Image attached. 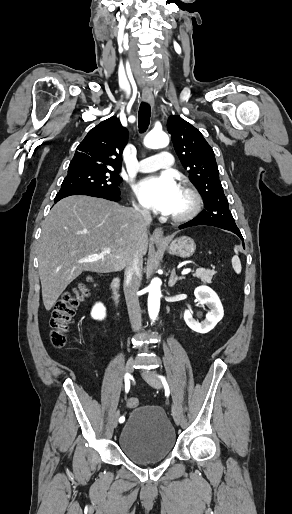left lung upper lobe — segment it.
Returning a JSON list of instances; mask_svg holds the SVG:
<instances>
[{"mask_svg":"<svg viewBox=\"0 0 292 514\" xmlns=\"http://www.w3.org/2000/svg\"><path fill=\"white\" fill-rule=\"evenodd\" d=\"M168 132L174 149L189 179L198 189L205 210L198 216L201 222H212L238 229L224 195L214 152L198 129L179 116H170Z\"/></svg>","mask_w":292,"mask_h":514,"instance_id":"1","label":"left lung upper lobe"}]
</instances>
